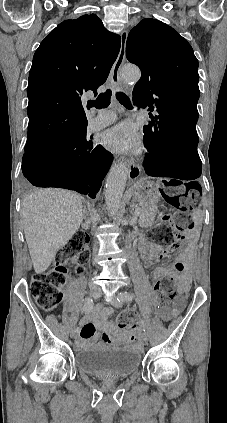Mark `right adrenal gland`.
Returning <instances> with one entry per match:
<instances>
[{"label": "right adrenal gland", "mask_w": 227, "mask_h": 423, "mask_svg": "<svg viewBox=\"0 0 227 423\" xmlns=\"http://www.w3.org/2000/svg\"><path fill=\"white\" fill-rule=\"evenodd\" d=\"M83 213H84V215H86V213H87L86 206H83Z\"/></svg>", "instance_id": "right-adrenal-gland-1"}]
</instances>
